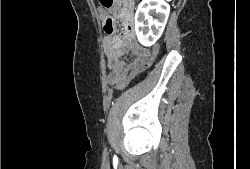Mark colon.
Segmentation results:
<instances>
[{"instance_id":"obj_1","label":"colon","mask_w":250,"mask_h":169,"mask_svg":"<svg viewBox=\"0 0 250 169\" xmlns=\"http://www.w3.org/2000/svg\"><path fill=\"white\" fill-rule=\"evenodd\" d=\"M100 4L106 8V9H111L116 6V1L114 0H100ZM114 29V22L112 20H109L106 25H105V30L108 33H111ZM160 48L161 45L158 43H154L152 45L151 50L149 53L146 55V58L138 64L135 69H131V72L129 73L128 77L125 78L124 81H122V88H127V86H132L133 80L138 76V74H142V72H146L147 69L152 66V62L156 58L158 54H160Z\"/></svg>"}]
</instances>
